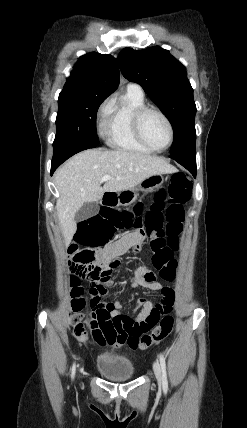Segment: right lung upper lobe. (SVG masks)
<instances>
[{
  "label": "right lung upper lobe",
  "mask_w": 247,
  "mask_h": 428,
  "mask_svg": "<svg viewBox=\"0 0 247 428\" xmlns=\"http://www.w3.org/2000/svg\"><path fill=\"white\" fill-rule=\"evenodd\" d=\"M117 60L111 55L88 53L79 58L60 95L92 93L109 96L119 85Z\"/></svg>",
  "instance_id": "obj_1"
}]
</instances>
